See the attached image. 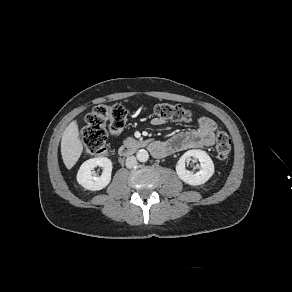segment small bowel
Segmentation results:
<instances>
[{"label": "small bowel", "instance_id": "small-bowel-1", "mask_svg": "<svg viewBox=\"0 0 292 292\" xmlns=\"http://www.w3.org/2000/svg\"><path fill=\"white\" fill-rule=\"evenodd\" d=\"M154 126L164 123L159 117H154L151 121ZM197 128L181 132L167 141L154 142L152 152L159 157L181 152L187 149L202 148L214 144L216 123L209 117L202 116L197 121Z\"/></svg>", "mask_w": 292, "mask_h": 292}]
</instances>
